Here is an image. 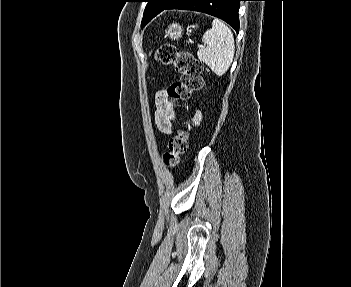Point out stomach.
I'll return each instance as SVG.
<instances>
[{
  "label": "stomach",
  "instance_id": "stomach-1",
  "mask_svg": "<svg viewBox=\"0 0 351 287\" xmlns=\"http://www.w3.org/2000/svg\"><path fill=\"white\" fill-rule=\"evenodd\" d=\"M192 28L197 27V25H192L190 26ZM182 32H183V28L177 24V23H173L172 25H170L168 27V29L166 30V35L170 38V39H179L182 36Z\"/></svg>",
  "mask_w": 351,
  "mask_h": 287
}]
</instances>
